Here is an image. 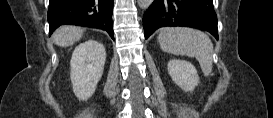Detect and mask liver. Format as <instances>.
Here are the masks:
<instances>
[{"instance_id": "1", "label": "liver", "mask_w": 273, "mask_h": 118, "mask_svg": "<svg viewBox=\"0 0 273 118\" xmlns=\"http://www.w3.org/2000/svg\"><path fill=\"white\" fill-rule=\"evenodd\" d=\"M83 35V29L75 26H63L57 29L53 34L54 43L60 47L72 46L80 40Z\"/></svg>"}]
</instances>
